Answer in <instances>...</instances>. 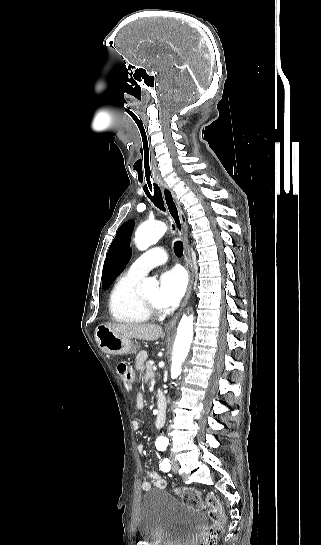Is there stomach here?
Returning <instances> with one entry per match:
<instances>
[{
    "label": "stomach",
    "mask_w": 321,
    "mask_h": 545,
    "mask_svg": "<svg viewBox=\"0 0 321 545\" xmlns=\"http://www.w3.org/2000/svg\"><path fill=\"white\" fill-rule=\"evenodd\" d=\"M94 339L102 353L107 355H129L137 353L138 347L134 345L130 337H124L119 333H113L105 325H98L94 331Z\"/></svg>",
    "instance_id": "stomach-1"
}]
</instances>
